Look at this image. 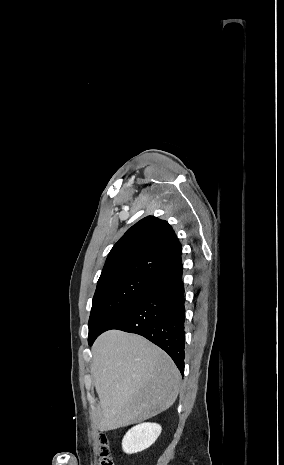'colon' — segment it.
Listing matches in <instances>:
<instances>
[{
    "mask_svg": "<svg viewBox=\"0 0 284 465\" xmlns=\"http://www.w3.org/2000/svg\"><path fill=\"white\" fill-rule=\"evenodd\" d=\"M100 442L103 444L100 449H99V452H100V456H101V461H100V465H113V462L108 458V455H107V451L106 449L104 448V445L108 442L107 438L101 436L100 438Z\"/></svg>",
    "mask_w": 284,
    "mask_h": 465,
    "instance_id": "colon-1",
    "label": "colon"
}]
</instances>
